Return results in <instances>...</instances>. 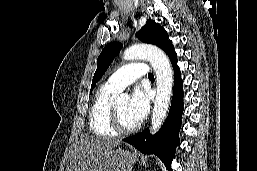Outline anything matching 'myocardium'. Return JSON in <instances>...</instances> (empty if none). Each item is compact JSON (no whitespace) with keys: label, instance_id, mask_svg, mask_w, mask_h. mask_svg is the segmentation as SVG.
<instances>
[{"label":"myocardium","instance_id":"f54148a6","mask_svg":"<svg viewBox=\"0 0 257 171\" xmlns=\"http://www.w3.org/2000/svg\"><path fill=\"white\" fill-rule=\"evenodd\" d=\"M110 122H111L112 128L115 130V132L119 134H129V133L135 132L140 127L139 123L130 127L125 126L122 123L120 116L118 114V111L114 105H111V108H110Z\"/></svg>","mask_w":257,"mask_h":171}]
</instances>
